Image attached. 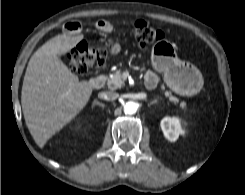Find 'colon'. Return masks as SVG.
<instances>
[{
	"mask_svg": "<svg viewBox=\"0 0 245 195\" xmlns=\"http://www.w3.org/2000/svg\"><path fill=\"white\" fill-rule=\"evenodd\" d=\"M134 36L139 45L147 46L161 40L163 33L150 26L147 22L138 20L134 24ZM111 46V43L107 46L86 42L79 44L68 54L71 71L76 74H85L94 66L104 65L111 53Z\"/></svg>",
	"mask_w": 245,
	"mask_h": 195,
	"instance_id": "obj_1",
	"label": "colon"
}]
</instances>
